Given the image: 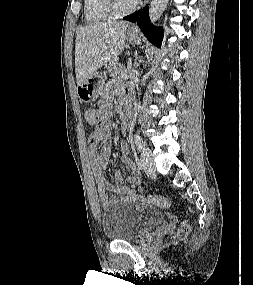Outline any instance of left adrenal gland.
<instances>
[{
  "label": "left adrenal gland",
  "instance_id": "a2214340",
  "mask_svg": "<svg viewBox=\"0 0 253 285\" xmlns=\"http://www.w3.org/2000/svg\"><path fill=\"white\" fill-rule=\"evenodd\" d=\"M141 61H142L141 59H139L138 57H136V59H135V64H134L135 68H137V67L140 65Z\"/></svg>",
  "mask_w": 253,
  "mask_h": 285
}]
</instances>
